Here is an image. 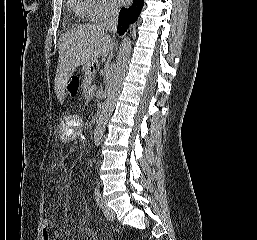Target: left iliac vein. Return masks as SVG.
<instances>
[{
    "mask_svg": "<svg viewBox=\"0 0 257 240\" xmlns=\"http://www.w3.org/2000/svg\"><path fill=\"white\" fill-rule=\"evenodd\" d=\"M102 211H103L104 216L108 220L113 221L115 219L114 211L109 206H107L105 202L102 203Z\"/></svg>",
    "mask_w": 257,
    "mask_h": 240,
    "instance_id": "obj_1",
    "label": "left iliac vein"
}]
</instances>
